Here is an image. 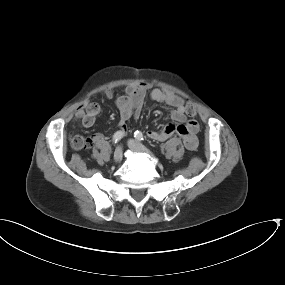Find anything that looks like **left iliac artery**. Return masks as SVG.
<instances>
[{"instance_id":"44dca946","label":"left iliac artery","mask_w":285,"mask_h":285,"mask_svg":"<svg viewBox=\"0 0 285 285\" xmlns=\"http://www.w3.org/2000/svg\"><path fill=\"white\" fill-rule=\"evenodd\" d=\"M134 137H135L138 141L143 140V134H142L140 131H135Z\"/></svg>"}]
</instances>
